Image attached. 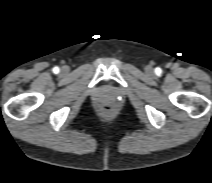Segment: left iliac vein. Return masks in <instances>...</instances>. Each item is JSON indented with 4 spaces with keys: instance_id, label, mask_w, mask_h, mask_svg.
<instances>
[{
    "instance_id": "1",
    "label": "left iliac vein",
    "mask_w": 212,
    "mask_h": 183,
    "mask_svg": "<svg viewBox=\"0 0 212 183\" xmlns=\"http://www.w3.org/2000/svg\"><path fill=\"white\" fill-rule=\"evenodd\" d=\"M146 72L148 74H152L153 73V69L151 67H148L147 70H146Z\"/></svg>"
}]
</instances>
